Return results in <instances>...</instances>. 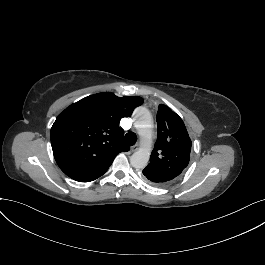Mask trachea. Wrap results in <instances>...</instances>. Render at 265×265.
Segmentation results:
<instances>
[{"mask_svg":"<svg viewBox=\"0 0 265 265\" xmlns=\"http://www.w3.org/2000/svg\"><path fill=\"white\" fill-rule=\"evenodd\" d=\"M137 141V136L133 132H129L124 137V142L128 146H133Z\"/></svg>","mask_w":265,"mask_h":265,"instance_id":"obj_1","label":"trachea"}]
</instances>
